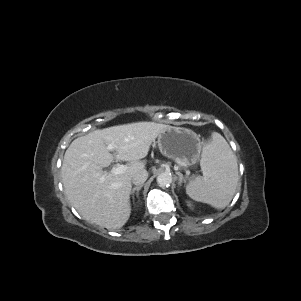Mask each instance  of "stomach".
Segmentation results:
<instances>
[{
	"instance_id": "1",
	"label": "stomach",
	"mask_w": 301,
	"mask_h": 301,
	"mask_svg": "<svg viewBox=\"0 0 301 301\" xmlns=\"http://www.w3.org/2000/svg\"><path fill=\"white\" fill-rule=\"evenodd\" d=\"M157 142L164 156L185 166L194 165L200 158V136L188 128L167 126L159 133Z\"/></svg>"
}]
</instances>
